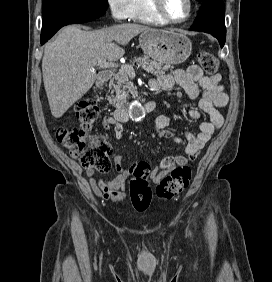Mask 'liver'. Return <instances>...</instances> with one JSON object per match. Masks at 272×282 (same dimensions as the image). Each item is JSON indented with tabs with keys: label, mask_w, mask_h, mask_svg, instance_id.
<instances>
[{
	"label": "liver",
	"mask_w": 272,
	"mask_h": 282,
	"mask_svg": "<svg viewBox=\"0 0 272 282\" xmlns=\"http://www.w3.org/2000/svg\"><path fill=\"white\" fill-rule=\"evenodd\" d=\"M145 25L123 23L96 31L79 26L64 27L55 40L44 47L42 75L52 115L65 112L93 86L94 67L99 60L120 59L125 46L139 33L149 30Z\"/></svg>",
	"instance_id": "1"
}]
</instances>
